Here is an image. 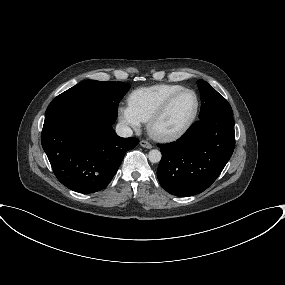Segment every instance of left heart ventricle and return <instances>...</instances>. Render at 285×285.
I'll return each mask as SVG.
<instances>
[{
	"label": "left heart ventricle",
	"instance_id": "left-heart-ventricle-1",
	"mask_svg": "<svg viewBox=\"0 0 285 285\" xmlns=\"http://www.w3.org/2000/svg\"><path fill=\"white\" fill-rule=\"evenodd\" d=\"M195 108V97L191 93H183L171 105L167 113L158 123V128L171 131L184 125Z\"/></svg>",
	"mask_w": 285,
	"mask_h": 285
}]
</instances>
